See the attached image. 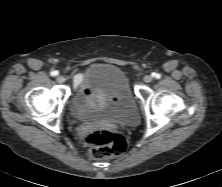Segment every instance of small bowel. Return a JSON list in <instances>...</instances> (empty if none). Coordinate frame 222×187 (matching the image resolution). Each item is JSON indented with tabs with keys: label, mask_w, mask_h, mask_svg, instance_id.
Segmentation results:
<instances>
[{
	"label": "small bowel",
	"mask_w": 222,
	"mask_h": 187,
	"mask_svg": "<svg viewBox=\"0 0 222 187\" xmlns=\"http://www.w3.org/2000/svg\"><path fill=\"white\" fill-rule=\"evenodd\" d=\"M81 81H82V75H81L80 73L75 74V76H74V84H75V87H78L79 84L81 83ZM97 97H98L99 99H101V98H102V94H101V93H98V94H97Z\"/></svg>",
	"instance_id": "1"
}]
</instances>
